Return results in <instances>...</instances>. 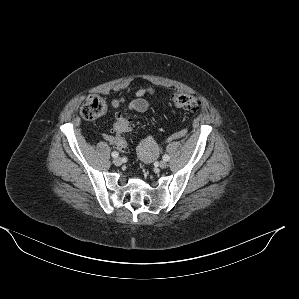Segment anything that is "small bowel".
Wrapping results in <instances>:
<instances>
[{
	"label": "small bowel",
	"mask_w": 299,
	"mask_h": 299,
	"mask_svg": "<svg viewBox=\"0 0 299 299\" xmlns=\"http://www.w3.org/2000/svg\"><path fill=\"white\" fill-rule=\"evenodd\" d=\"M155 90L152 87H146V88H141L136 91L135 93V99H133L129 104L128 108L132 111L136 112H144L146 111L151 105H152V100L146 99L145 96H154ZM124 103L123 98H115L111 102V106L113 108H118L120 105ZM104 139L111 144L117 146L115 137L111 134H104L103 135ZM120 149V148H119ZM121 151H124L123 149H120Z\"/></svg>",
	"instance_id": "obj_1"
}]
</instances>
